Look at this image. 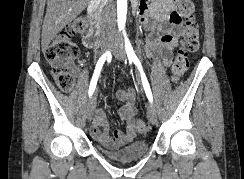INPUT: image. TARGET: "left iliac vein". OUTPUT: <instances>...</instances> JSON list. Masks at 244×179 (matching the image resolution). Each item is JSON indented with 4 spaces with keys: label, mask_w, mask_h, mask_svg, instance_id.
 <instances>
[{
    "label": "left iliac vein",
    "mask_w": 244,
    "mask_h": 179,
    "mask_svg": "<svg viewBox=\"0 0 244 179\" xmlns=\"http://www.w3.org/2000/svg\"><path fill=\"white\" fill-rule=\"evenodd\" d=\"M112 48H113V55L115 56V58L119 61H124L126 58V52L122 46L121 38H118L115 40V42H113ZM147 117L152 124H156L157 112L152 103L148 104L147 106Z\"/></svg>",
    "instance_id": "obj_1"
}]
</instances>
